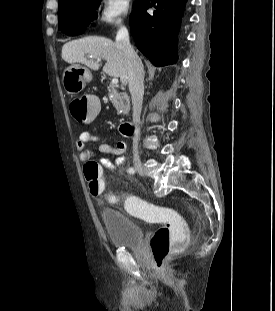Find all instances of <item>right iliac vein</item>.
I'll return each mask as SVG.
<instances>
[{"label":"right iliac vein","instance_id":"obj_1","mask_svg":"<svg viewBox=\"0 0 275 311\" xmlns=\"http://www.w3.org/2000/svg\"><path fill=\"white\" fill-rule=\"evenodd\" d=\"M134 167L135 169L138 171L139 174L143 175V166H142V162L140 160V158H135L134 161Z\"/></svg>","mask_w":275,"mask_h":311}]
</instances>
